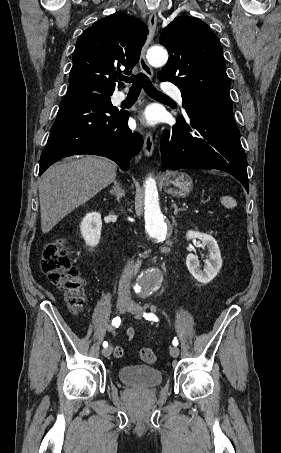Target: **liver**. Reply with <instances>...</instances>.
Instances as JSON below:
<instances>
[{
    "instance_id": "6515ba94",
    "label": "liver",
    "mask_w": 281,
    "mask_h": 453,
    "mask_svg": "<svg viewBox=\"0 0 281 453\" xmlns=\"http://www.w3.org/2000/svg\"><path fill=\"white\" fill-rule=\"evenodd\" d=\"M116 176V162L103 156H83L49 166L39 182L42 233H49L61 218L93 198Z\"/></svg>"
}]
</instances>
